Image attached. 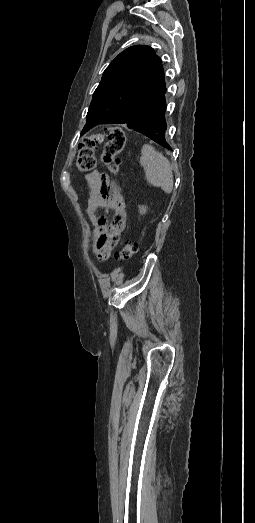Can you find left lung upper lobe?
Returning <instances> with one entry per match:
<instances>
[{"mask_svg":"<svg viewBox=\"0 0 255 523\" xmlns=\"http://www.w3.org/2000/svg\"><path fill=\"white\" fill-rule=\"evenodd\" d=\"M165 93L162 61L154 50L129 47L105 69L81 135L98 124H127L133 130L155 125L166 118Z\"/></svg>","mask_w":255,"mask_h":523,"instance_id":"1","label":"left lung upper lobe"}]
</instances>
